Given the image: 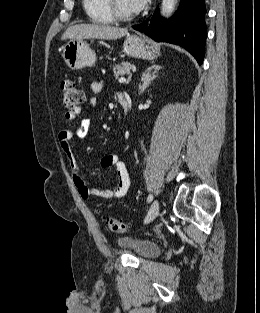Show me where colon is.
Here are the masks:
<instances>
[{"instance_id":"colon-1","label":"colon","mask_w":260,"mask_h":313,"mask_svg":"<svg viewBox=\"0 0 260 313\" xmlns=\"http://www.w3.org/2000/svg\"><path fill=\"white\" fill-rule=\"evenodd\" d=\"M60 89L63 95L64 106L70 111L79 108L84 103L85 96L83 90L73 79L64 78L61 81ZM103 219L112 232L123 233L129 228V225L123 221L111 217H104Z\"/></svg>"}]
</instances>
